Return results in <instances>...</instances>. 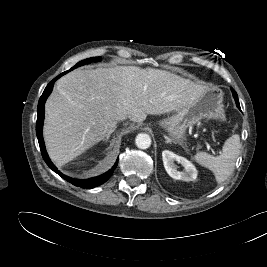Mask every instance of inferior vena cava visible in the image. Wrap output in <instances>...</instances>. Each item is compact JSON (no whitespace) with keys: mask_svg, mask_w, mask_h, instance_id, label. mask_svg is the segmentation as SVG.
<instances>
[{"mask_svg":"<svg viewBox=\"0 0 267 267\" xmlns=\"http://www.w3.org/2000/svg\"><path fill=\"white\" fill-rule=\"evenodd\" d=\"M123 119H125V117H123V116L118 117V120H123Z\"/></svg>","mask_w":267,"mask_h":267,"instance_id":"1","label":"inferior vena cava"}]
</instances>
